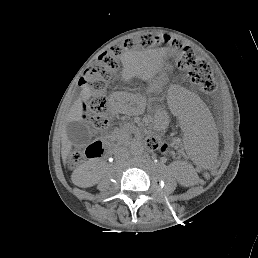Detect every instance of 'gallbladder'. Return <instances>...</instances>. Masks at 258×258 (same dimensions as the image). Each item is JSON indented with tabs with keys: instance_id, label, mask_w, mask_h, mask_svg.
<instances>
[{
	"instance_id": "bac80fb5",
	"label": "gallbladder",
	"mask_w": 258,
	"mask_h": 258,
	"mask_svg": "<svg viewBox=\"0 0 258 258\" xmlns=\"http://www.w3.org/2000/svg\"><path fill=\"white\" fill-rule=\"evenodd\" d=\"M68 139L74 145H86L92 140L89 126L80 121L69 122L66 126Z\"/></svg>"
}]
</instances>
